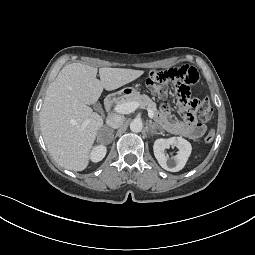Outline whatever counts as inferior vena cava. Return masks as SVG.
Here are the masks:
<instances>
[{"label": "inferior vena cava", "instance_id": "obj_1", "mask_svg": "<svg viewBox=\"0 0 255 255\" xmlns=\"http://www.w3.org/2000/svg\"><path fill=\"white\" fill-rule=\"evenodd\" d=\"M106 123L111 128L117 129L123 125L124 117L117 114L109 115L106 119Z\"/></svg>", "mask_w": 255, "mask_h": 255}]
</instances>
